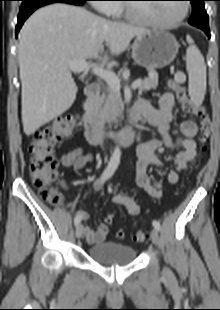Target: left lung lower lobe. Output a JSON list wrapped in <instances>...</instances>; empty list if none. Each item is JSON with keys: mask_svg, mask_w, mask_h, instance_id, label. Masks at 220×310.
I'll return each instance as SVG.
<instances>
[{"mask_svg": "<svg viewBox=\"0 0 220 310\" xmlns=\"http://www.w3.org/2000/svg\"><path fill=\"white\" fill-rule=\"evenodd\" d=\"M205 33H206V35L208 36V38H210V31H209V29H202Z\"/></svg>", "mask_w": 220, "mask_h": 310, "instance_id": "1", "label": "left lung lower lobe"}]
</instances>
